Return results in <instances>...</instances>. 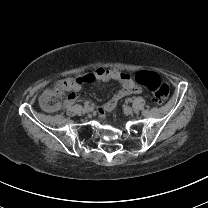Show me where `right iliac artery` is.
<instances>
[{
	"label": "right iliac artery",
	"instance_id": "82829eb1",
	"mask_svg": "<svg viewBox=\"0 0 208 208\" xmlns=\"http://www.w3.org/2000/svg\"><path fill=\"white\" fill-rule=\"evenodd\" d=\"M89 104H90V101H85V102H84V107H88Z\"/></svg>",
	"mask_w": 208,
	"mask_h": 208
}]
</instances>
